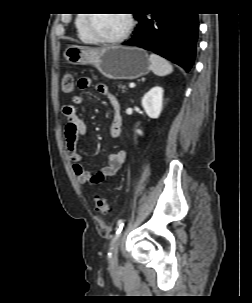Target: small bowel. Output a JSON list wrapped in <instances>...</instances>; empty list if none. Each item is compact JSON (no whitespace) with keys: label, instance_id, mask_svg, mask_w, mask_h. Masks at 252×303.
I'll list each match as a JSON object with an SVG mask.
<instances>
[{"label":"small bowel","instance_id":"obj_1","mask_svg":"<svg viewBox=\"0 0 252 303\" xmlns=\"http://www.w3.org/2000/svg\"><path fill=\"white\" fill-rule=\"evenodd\" d=\"M92 80L88 77L79 79L78 86L82 90L90 88ZM97 91L107 97L110 104L113 107V118L110 128V135L113 138H117L122 130V115L121 105L117 96L109 89L106 84L97 83L95 85ZM84 103V98L81 95H73L71 98V104L63 106V114L66 117L65 125V140L66 147L70 156V159L74 161L73 171L78 180L82 183L89 185H97L103 182L105 179L114 177L120 170L126 159V151L121 149L117 152L111 153L106 162L96 171L90 172L85 170L82 165L79 164L80 153L78 149V140L86 133V124L77 114L75 106Z\"/></svg>","mask_w":252,"mask_h":303}]
</instances>
